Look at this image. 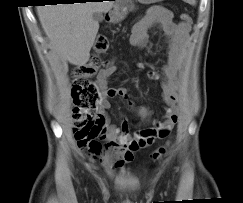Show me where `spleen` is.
I'll list each match as a JSON object with an SVG mask.
<instances>
[{"label":"spleen","instance_id":"obj_1","mask_svg":"<svg viewBox=\"0 0 243 203\" xmlns=\"http://www.w3.org/2000/svg\"><path fill=\"white\" fill-rule=\"evenodd\" d=\"M184 1L188 2L191 5H195L196 4L195 0H184Z\"/></svg>","mask_w":243,"mask_h":203}]
</instances>
